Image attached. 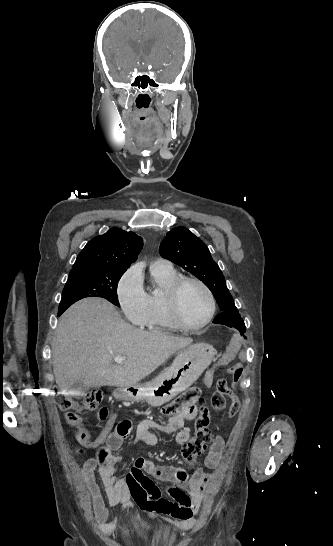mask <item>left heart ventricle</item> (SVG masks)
Instances as JSON below:
<instances>
[{
    "label": "left heart ventricle",
    "instance_id": "b2bd125f",
    "mask_svg": "<svg viewBox=\"0 0 333 546\" xmlns=\"http://www.w3.org/2000/svg\"><path fill=\"white\" fill-rule=\"evenodd\" d=\"M178 307L183 320L190 325H196L208 313V297L198 285L187 283L180 290Z\"/></svg>",
    "mask_w": 333,
    "mask_h": 546
}]
</instances>
